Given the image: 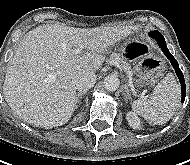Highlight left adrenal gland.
Here are the masks:
<instances>
[{
  "label": "left adrenal gland",
  "instance_id": "left-adrenal-gland-1",
  "mask_svg": "<svg viewBox=\"0 0 190 165\" xmlns=\"http://www.w3.org/2000/svg\"><path fill=\"white\" fill-rule=\"evenodd\" d=\"M123 94H124L125 102H127L128 99L132 100V97H131V94H130V90H129V88H128L127 85L124 86V93Z\"/></svg>",
  "mask_w": 190,
  "mask_h": 165
}]
</instances>
